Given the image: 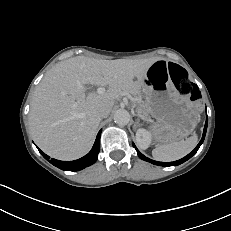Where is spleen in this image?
<instances>
[{
	"label": "spleen",
	"instance_id": "3e777b00",
	"mask_svg": "<svg viewBox=\"0 0 231 231\" xmlns=\"http://www.w3.org/2000/svg\"><path fill=\"white\" fill-rule=\"evenodd\" d=\"M197 140V135L194 133L186 140L160 145L153 149L152 156L155 160L163 162L181 159L195 148Z\"/></svg>",
	"mask_w": 231,
	"mask_h": 231
}]
</instances>
